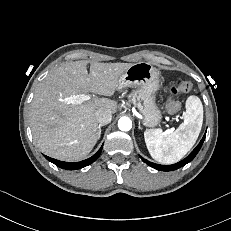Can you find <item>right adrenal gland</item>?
Here are the masks:
<instances>
[{
	"instance_id": "2a0ac1e0",
	"label": "right adrenal gland",
	"mask_w": 231,
	"mask_h": 231,
	"mask_svg": "<svg viewBox=\"0 0 231 231\" xmlns=\"http://www.w3.org/2000/svg\"><path fill=\"white\" fill-rule=\"evenodd\" d=\"M101 127H102V125H99V132H100V134H101Z\"/></svg>"
}]
</instances>
